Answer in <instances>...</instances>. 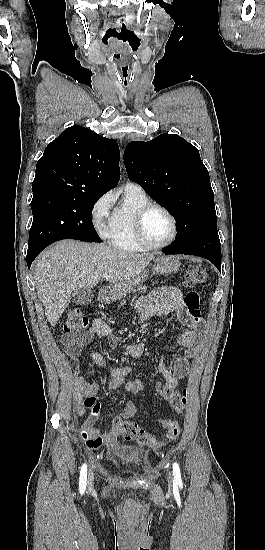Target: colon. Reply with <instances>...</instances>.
Listing matches in <instances>:
<instances>
[{
    "label": "colon",
    "instance_id": "5ec220e1",
    "mask_svg": "<svg viewBox=\"0 0 265 550\" xmlns=\"http://www.w3.org/2000/svg\"><path fill=\"white\" fill-rule=\"evenodd\" d=\"M207 280V274L205 269L201 265L193 266L187 270L184 278V285L186 287H192L194 285H202ZM185 305L189 312V315L195 320L201 319V296L198 290H191L185 296ZM89 325L88 318L78 309L69 308L65 313L63 322V330L65 333L79 332L87 329ZM163 398L172 406V408L182 413L188 403V393L184 389L179 391H166ZM99 402L96 395L89 389H87L85 398L83 401L84 409L92 414L98 409ZM163 426L166 428L167 433L165 441H159L155 439L148 431L139 427L136 423L127 421L121 417H116L113 420V430L129 441H137L138 443L151 446H161L164 442H170L176 440L180 435V425L176 420L163 419Z\"/></svg>",
    "mask_w": 265,
    "mask_h": 550
}]
</instances>
